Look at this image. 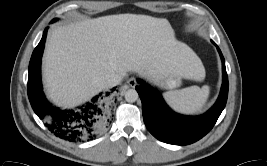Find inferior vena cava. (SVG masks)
Returning <instances> with one entry per match:
<instances>
[{"instance_id": "1", "label": "inferior vena cava", "mask_w": 267, "mask_h": 166, "mask_svg": "<svg viewBox=\"0 0 267 166\" xmlns=\"http://www.w3.org/2000/svg\"><path fill=\"white\" fill-rule=\"evenodd\" d=\"M120 81H121V77L119 75L110 73V74H106L102 78V85L105 88H110V87L118 85Z\"/></svg>"}]
</instances>
